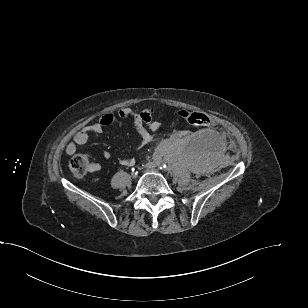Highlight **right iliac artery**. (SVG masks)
<instances>
[{"mask_svg":"<svg viewBox=\"0 0 308 308\" xmlns=\"http://www.w3.org/2000/svg\"><path fill=\"white\" fill-rule=\"evenodd\" d=\"M135 171V169L134 168H132V172H134ZM136 174H137V172H136Z\"/></svg>","mask_w":308,"mask_h":308,"instance_id":"82829eb1","label":"right iliac artery"}]
</instances>
